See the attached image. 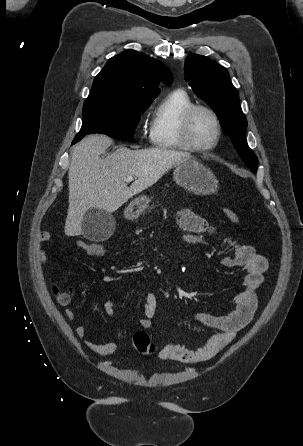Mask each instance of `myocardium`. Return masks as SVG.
<instances>
[{"instance_id":"f54148a6","label":"myocardium","mask_w":303,"mask_h":446,"mask_svg":"<svg viewBox=\"0 0 303 446\" xmlns=\"http://www.w3.org/2000/svg\"><path fill=\"white\" fill-rule=\"evenodd\" d=\"M199 110L205 111L206 113H208L210 115V117L213 119V122H214V125L216 128L215 140L212 144H210L208 146H198L192 141V139L190 137L191 119H192L193 115L195 114V112H197ZM179 133H180V139L187 149L195 151V152H208V151L215 149L218 146V144L221 140V137H222V126H221L218 115L216 114V112L213 109H211L210 107H208L206 105L193 104L183 113V115L181 117Z\"/></svg>"}]
</instances>
